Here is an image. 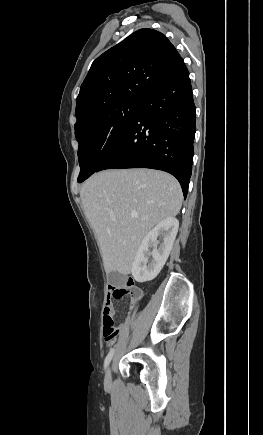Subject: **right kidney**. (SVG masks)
I'll use <instances>...</instances> for the list:
<instances>
[{
    "label": "right kidney",
    "mask_w": 263,
    "mask_h": 435,
    "mask_svg": "<svg viewBox=\"0 0 263 435\" xmlns=\"http://www.w3.org/2000/svg\"><path fill=\"white\" fill-rule=\"evenodd\" d=\"M178 228V220L175 217H168L143 238L131 270L137 282L151 281L160 273L173 247ZM158 237L161 240H157Z\"/></svg>",
    "instance_id": "1"
}]
</instances>
